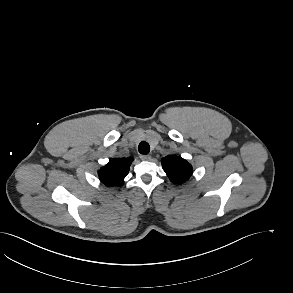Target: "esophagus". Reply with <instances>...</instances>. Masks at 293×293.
I'll return each instance as SVG.
<instances>
[{
    "mask_svg": "<svg viewBox=\"0 0 293 293\" xmlns=\"http://www.w3.org/2000/svg\"><path fill=\"white\" fill-rule=\"evenodd\" d=\"M140 158H141V160H145V161L151 160L150 155H140Z\"/></svg>",
    "mask_w": 293,
    "mask_h": 293,
    "instance_id": "1",
    "label": "esophagus"
}]
</instances>
